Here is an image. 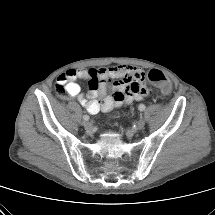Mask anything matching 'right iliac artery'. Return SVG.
Wrapping results in <instances>:
<instances>
[{
    "label": "right iliac artery",
    "mask_w": 215,
    "mask_h": 215,
    "mask_svg": "<svg viewBox=\"0 0 215 215\" xmlns=\"http://www.w3.org/2000/svg\"><path fill=\"white\" fill-rule=\"evenodd\" d=\"M83 119H84L85 121H88V120H89V116H88V115H84V116H83Z\"/></svg>",
    "instance_id": "right-iliac-artery-1"
}]
</instances>
